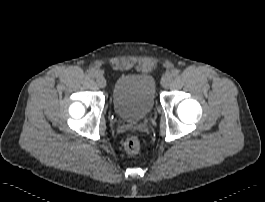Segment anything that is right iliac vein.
Instances as JSON below:
<instances>
[{
	"mask_svg": "<svg viewBox=\"0 0 265 202\" xmlns=\"http://www.w3.org/2000/svg\"><path fill=\"white\" fill-rule=\"evenodd\" d=\"M95 80L98 87L104 88L106 86V80L101 74L97 73L95 75Z\"/></svg>",
	"mask_w": 265,
	"mask_h": 202,
	"instance_id": "1",
	"label": "right iliac vein"
}]
</instances>
